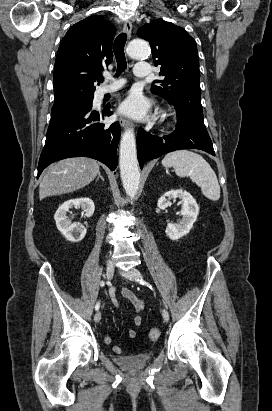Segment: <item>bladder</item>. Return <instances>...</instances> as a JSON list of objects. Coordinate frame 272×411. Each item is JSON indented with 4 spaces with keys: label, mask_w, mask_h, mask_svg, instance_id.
Listing matches in <instances>:
<instances>
[{
    "label": "bladder",
    "mask_w": 272,
    "mask_h": 411,
    "mask_svg": "<svg viewBox=\"0 0 272 411\" xmlns=\"http://www.w3.org/2000/svg\"><path fill=\"white\" fill-rule=\"evenodd\" d=\"M153 358L152 352L142 353V354H132V355H113L112 361L120 368L136 372L145 368Z\"/></svg>",
    "instance_id": "obj_1"
}]
</instances>
